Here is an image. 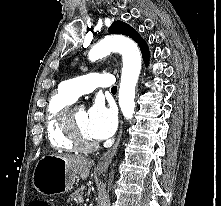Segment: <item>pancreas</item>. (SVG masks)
<instances>
[{
  "label": "pancreas",
  "instance_id": "cf45deb5",
  "mask_svg": "<svg viewBox=\"0 0 221 206\" xmlns=\"http://www.w3.org/2000/svg\"><path fill=\"white\" fill-rule=\"evenodd\" d=\"M83 195V191L82 189H77L75 190L71 195H70V198L68 199V202H72L74 200H78L79 198H81Z\"/></svg>",
  "mask_w": 221,
  "mask_h": 206
}]
</instances>
